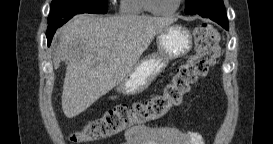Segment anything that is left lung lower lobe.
<instances>
[{
    "label": "left lung lower lobe",
    "instance_id": "left-lung-lower-lobe-1",
    "mask_svg": "<svg viewBox=\"0 0 273 144\" xmlns=\"http://www.w3.org/2000/svg\"><path fill=\"white\" fill-rule=\"evenodd\" d=\"M206 2L209 1L206 0ZM196 14L204 18H210L211 20L217 22L225 29H228V19L224 8H220L219 6L216 5H210V7L208 8H204L202 10L197 11Z\"/></svg>",
    "mask_w": 273,
    "mask_h": 144
}]
</instances>
